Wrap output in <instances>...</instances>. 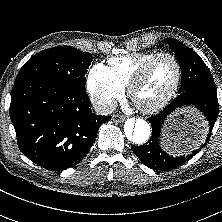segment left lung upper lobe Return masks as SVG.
I'll use <instances>...</instances> for the list:
<instances>
[{"instance_id":"1","label":"left lung upper lobe","mask_w":222,"mask_h":222,"mask_svg":"<svg viewBox=\"0 0 222 222\" xmlns=\"http://www.w3.org/2000/svg\"><path fill=\"white\" fill-rule=\"evenodd\" d=\"M166 43L174 50L181 67L179 93L191 89L217 91L208 67L196 52L176 39L168 38Z\"/></svg>"}]
</instances>
